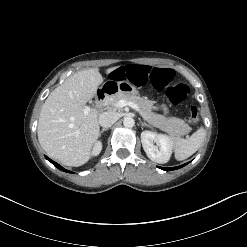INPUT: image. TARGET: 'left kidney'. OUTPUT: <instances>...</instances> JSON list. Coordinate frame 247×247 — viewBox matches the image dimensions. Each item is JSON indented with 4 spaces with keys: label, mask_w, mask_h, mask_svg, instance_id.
<instances>
[{
    "label": "left kidney",
    "mask_w": 247,
    "mask_h": 247,
    "mask_svg": "<svg viewBox=\"0 0 247 247\" xmlns=\"http://www.w3.org/2000/svg\"><path fill=\"white\" fill-rule=\"evenodd\" d=\"M141 142L150 160L160 164L169 161L173 148V141L169 136L152 131H143Z\"/></svg>",
    "instance_id": "1"
}]
</instances>
